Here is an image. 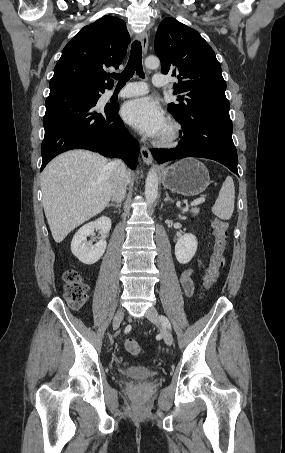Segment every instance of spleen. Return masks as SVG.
<instances>
[{
	"instance_id": "1",
	"label": "spleen",
	"mask_w": 285,
	"mask_h": 453,
	"mask_svg": "<svg viewBox=\"0 0 285 453\" xmlns=\"http://www.w3.org/2000/svg\"><path fill=\"white\" fill-rule=\"evenodd\" d=\"M235 187L231 176H227L219 192V196L212 207L215 216L229 220L234 211Z\"/></svg>"
}]
</instances>
